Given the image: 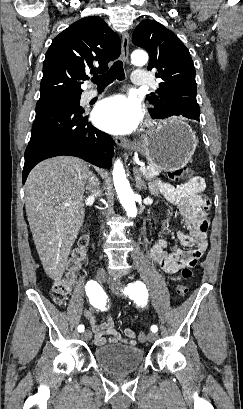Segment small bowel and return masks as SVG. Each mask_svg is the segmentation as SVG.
Wrapping results in <instances>:
<instances>
[{
	"label": "small bowel",
	"instance_id": "obj_1",
	"mask_svg": "<svg viewBox=\"0 0 243 409\" xmlns=\"http://www.w3.org/2000/svg\"><path fill=\"white\" fill-rule=\"evenodd\" d=\"M151 188L154 193L178 205L189 230L188 234L177 231L176 236L181 245L192 249L182 250L172 246L168 250V242L160 239L149 250L158 268L170 275L172 280H179L181 277L176 274L184 267L193 268L207 250L209 226L207 211L211 202L203 194L205 184L201 178H194L176 186L157 180L153 182ZM84 315L94 332L95 345L122 343L134 346L136 344V334L131 329H125L124 336L115 329L111 314H108L101 324H96L92 310L86 309ZM106 335L109 338H106Z\"/></svg>",
	"mask_w": 243,
	"mask_h": 409
}]
</instances>
